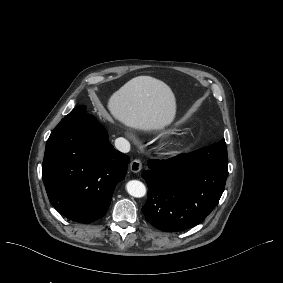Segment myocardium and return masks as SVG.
I'll return each instance as SVG.
<instances>
[{
	"label": "myocardium",
	"mask_w": 283,
	"mask_h": 283,
	"mask_svg": "<svg viewBox=\"0 0 283 283\" xmlns=\"http://www.w3.org/2000/svg\"><path fill=\"white\" fill-rule=\"evenodd\" d=\"M162 155L165 158H175L181 153L182 143L175 139H167L163 142Z\"/></svg>",
	"instance_id": "obj_1"
}]
</instances>
